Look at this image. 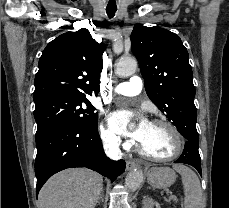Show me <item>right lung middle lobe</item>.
<instances>
[{
  "instance_id": "right-lung-middle-lobe-1",
  "label": "right lung middle lobe",
  "mask_w": 229,
  "mask_h": 208,
  "mask_svg": "<svg viewBox=\"0 0 229 208\" xmlns=\"http://www.w3.org/2000/svg\"><path fill=\"white\" fill-rule=\"evenodd\" d=\"M35 102L36 138L63 123H73L88 129L97 128L98 114L86 97L57 94Z\"/></svg>"
}]
</instances>
